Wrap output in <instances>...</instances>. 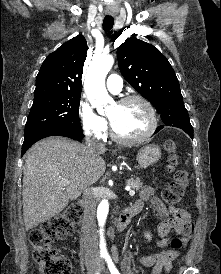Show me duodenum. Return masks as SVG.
<instances>
[{"mask_svg": "<svg viewBox=\"0 0 221 274\" xmlns=\"http://www.w3.org/2000/svg\"><path fill=\"white\" fill-rule=\"evenodd\" d=\"M80 205L82 206L81 203ZM137 213H138L137 209L134 206H130L124 209L117 217V220H116L117 229L119 231H123L124 229H126V227L129 225L134 215H136Z\"/></svg>", "mask_w": 221, "mask_h": 274, "instance_id": "410a0bca", "label": "duodenum"}]
</instances>
